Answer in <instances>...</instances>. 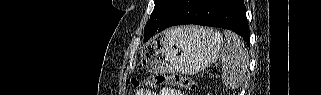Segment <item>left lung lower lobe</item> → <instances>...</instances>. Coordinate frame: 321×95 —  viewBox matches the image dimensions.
<instances>
[{
    "instance_id": "left-lung-lower-lobe-1",
    "label": "left lung lower lobe",
    "mask_w": 321,
    "mask_h": 95,
    "mask_svg": "<svg viewBox=\"0 0 321 95\" xmlns=\"http://www.w3.org/2000/svg\"><path fill=\"white\" fill-rule=\"evenodd\" d=\"M182 24L229 29L242 36L249 45V27L243 0H176L157 32Z\"/></svg>"
}]
</instances>
